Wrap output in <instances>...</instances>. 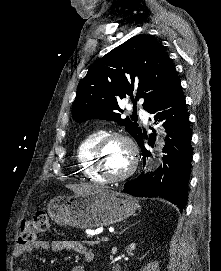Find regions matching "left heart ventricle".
<instances>
[{
    "mask_svg": "<svg viewBox=\"0 0 221 271\" xmlns=\"http://www.w3.org/2000/svg\"><path fill=\"white\" fill-rule=\"evenodd\" d=\"M175 87V86H169ZM128 141L125 137H116L108 139L103 144V152H101V166L107 169L108 175H121L122 169L128 168L129 161H124V156H128V152H124L123 144Z\"/></svg>",
    "mask_w": 221,
    "mask_h": 271,
    "instance_id": "left-heart-ventricle-1",
    "label": "left heart ventricle"
}]
</instances>
